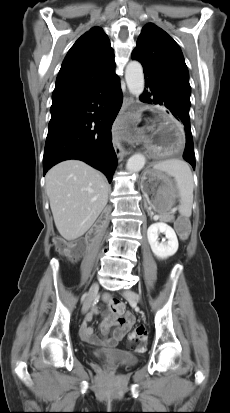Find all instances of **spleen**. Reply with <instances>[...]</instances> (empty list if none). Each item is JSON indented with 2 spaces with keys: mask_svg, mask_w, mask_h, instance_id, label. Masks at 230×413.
<instances>
[{
  "mask_svg": "<svg viewBox=\"0 0 230 413\" xmlns=\"http://www.w3.org/2000/svg\"><path fill=\"white\" fill-rule=\"evenodd\" d=\"M154 170L165 172L174 177L179 195V212L183 217H190L193 204V175L189 165L180 159H168L157 163Z\"/></svg>",
  "mask_w": 230,
  "mask_h": 413,
  "instance_id": "spleen-1",
  "label": "spleen"
}]
</instances>
